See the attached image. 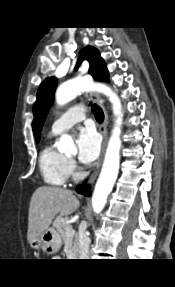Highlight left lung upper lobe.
Here are the masks:
<instances>
[{"instance_id":"1","label":"left lung upper lobe","mask_w":175,"mask_h":287,"mask_svg":"<svg viewBox=\"0 0 175 287\" xmlns=\"http://www.w3.org/2000/svg\"><path fill=\"white\" fill-rule=\"evenodd\" d=\"M85 59L90 63L89 73L95 80L106 82L109 81L106 64L100 57V53L97 49L91 46L82 49L79 53V58L75 66V70ZM56 86V78L50 77L47 78L38 89L37 99L33 108L34 120L32 123L33 132L37 142H39L41 128L45 121L46 115L53 103Z\"/></svg>"}]
</instances>
